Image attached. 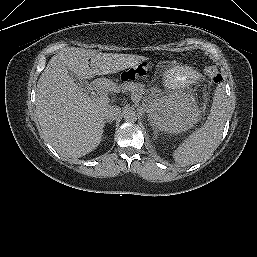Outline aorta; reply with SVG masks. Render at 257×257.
I'll return each mask as SVG.
<instances>
[{"mask_svg": "<svg viewBox=\"0 0 257 257\" xmlns=\"http://www.w3.org/2000/svg\"><path fill=\"white\" fill-rule=\"evenodd\" d=\"M123 117L127 123H135L137 121V114L132 108H126L123 111Z\"/></svg>", "mask_w": 257, "mask_h": 257, "instance_id": "1", "label": "aorta"}]
</instances>
